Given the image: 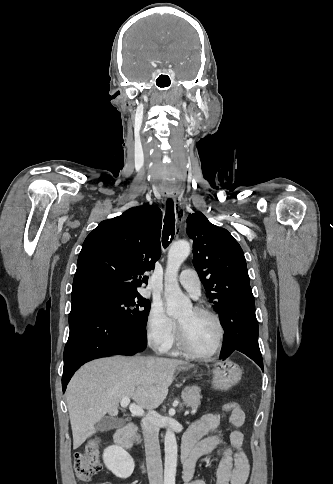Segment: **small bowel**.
<instances>
[{
  "label": "small bowel",
  "instance_id": "small-bowel-1",
  "mask_svg": "<svg viewBox=\"0 0 333 484\" xmlns=\"http://www.w3.org/2000/svg\"><path fill=\"white\" fill-rule=\"evenodd\" d=\"M228 421L234 430L229 435V441L215 434L222 421ZM245 421V413L241 408L232 412L207 413L196 421L185 433L183 439L194 443L193 457L184 466V484H206L203 479L194 478L196 462L202 456L223 445V456L216 472V484H245L250 472V465L245 454L244 435L241 427Z\"/></svg>",
  "mask_w": 333,
  "mask_h": 484
}]
</instances>
